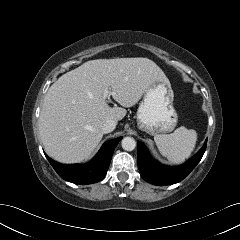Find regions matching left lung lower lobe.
Returning <instances> with one entry per match:
<instances>
[{
    "mask_svg": "<svg viewBox=\"0 0 240 240\" xmlns=\"http://www.w3.org/2000/svg\"><path fill=\"white\" fill-rule=\"evenodd\" d=\"M207 145V139L201 150L193 156L188 162L179 167H167L154 160L146 146L138 141V168L141 177L158 186L170 185L180 182L195 168L201 160Z\"/></svg>",
    "mask_w": 240,
    "mask_h": 240,
    "instance_id": "left-lung-lower-lobe-1",
    "label": "left lung lower lobe"
}]
</instances>
